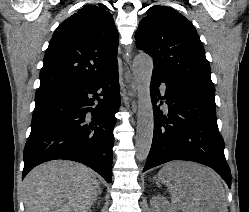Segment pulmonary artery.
Instances as JSON below:
<instances>
[{
  "label": "pulmonary artery",
  "mask_w": 249,
  "mask_h": 212,
  "mask_svg": "<svg viewBox=\"0 0 249 212\" xmlns=\"http://www.w3.org/2000/svg\"><path fill=\"white\" fill-rule=\"evenodd\" d=\"M164 89H165V88H164V87H162V91H164Z\"/></svg>",
  "instance_id": "e3ab8cb5"
}]
</instances>
